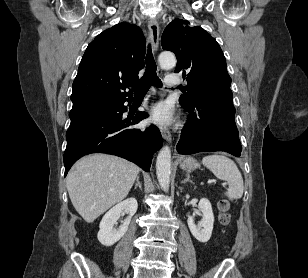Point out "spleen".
<instances>
[{"label":"spleen","instance_id":"3e777b00","mask_svg":"<svg viewBox=\"0 0 308 278\" xmlns=\"http://www.w3.org/2000/svg\"><path fill=\"white\" fill-rule=\"evenodd\" d=\"M202 164L207 167L217 178L228 184L226 195L230 200L240 199L244 192L242 175L233 160L226 156L213 154L205 156Z\"/></svg>","mask_w":308,"mask_h":278}]
</instances>
